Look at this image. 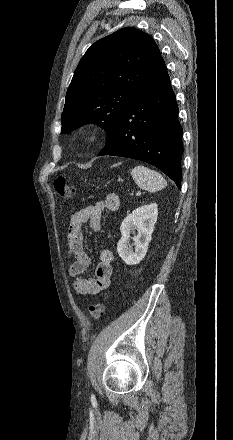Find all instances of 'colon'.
<instances>
[{"label": "colon", "instance_id": "colon-1", "mask_svg": "<svg viewBox=\"0 0 233 440\" xmlns=\"http://www.w3.org/2000/svg\"><path fill=\"white\" fill-rule=\"evenodd\" d=\"M53 186L55 192L62 197L72 196L75 193L74 188L68 184L67 179L63 176L56 177ZM104 311L105 306L102 302H97L91 305L89 308L90 316L94 320L101 318L104 314Z\"/></svg>", "mask_w": 233, "mask_h": 440}]
</instances>
